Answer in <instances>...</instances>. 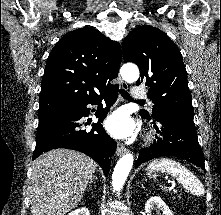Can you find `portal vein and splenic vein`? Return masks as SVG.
Here are the masks:
<instances>
[{
    "instance_id": "1",
    "label": "portal vein and splenic vein",
    "mask_w": 221,
    "mask_h": 215,
    "mask_svg": "<svg viewBox=\"0 0 221 215\" xmlns=\"http://www.w3.org/2000/svg\"><path fill=\"white\" fill-rule=\"evenodd\" d=\"M170 182V181H169ZM175 187V183H172V187L171 188H174Z\"/></svg>"
}]
</instances>
